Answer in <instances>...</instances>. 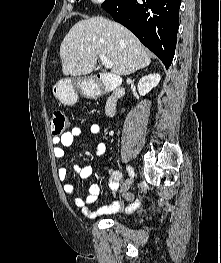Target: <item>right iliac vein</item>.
I'll use <instances>...</instances> for the list:
<instances>
[{"label": "right iliac vein", "instance_id": "right-iliac-vein-1", "mask_svg": "<svg viewBox=\"0 0 221 263\" xmlns=\"http://www.w3.org/2000/svg\"><path fill=\"white\" fill-rule=\"evenodd\" d=\"M131 182H132V180H131V179H130V180H128V181L126 182L125 186H124V187H123V189H122V191H123V192H125V191H127V190H128V188H129V186H130Z\"/></svg>", "mask_w": 221, "mask_h": 263}]
</instances>
